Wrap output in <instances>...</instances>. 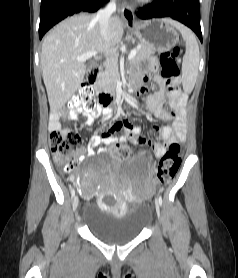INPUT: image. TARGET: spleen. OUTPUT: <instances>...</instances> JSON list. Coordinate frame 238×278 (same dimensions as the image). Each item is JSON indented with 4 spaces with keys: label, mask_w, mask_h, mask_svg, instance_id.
I'll use <instances>...</instances> for the list:
<instances>
[{
    "label": "spleen",
    "mask_w": 238,
    "mask_h": 278,
    "mask_svg": "<svg viewBox=\"0 0 238 278\" xmlns=\"http://www.w3.org/2000/svg\"><path fill=\"white\" fill-rule=\"evenodd\" d=\"M178 29L186 43V51L182 62V84L186 93H190L195 85L199 66V47L194 33L183 24L164 19Z\"/></svg>",
    "instance_id": "spleen-1"
}]
</instances>
